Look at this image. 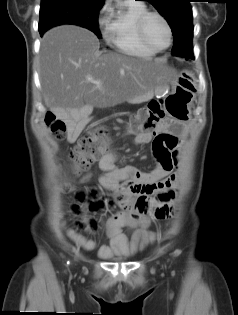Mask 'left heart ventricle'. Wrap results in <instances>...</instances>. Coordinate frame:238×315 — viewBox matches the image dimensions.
<instances>
[{"label":"left heart ventricle","mask_w":238,"mask_h":315,"mask_svg":"<svg viewBox=\"0 0 238 315\" xmlns=\"http://www.w3.org/2000/svg\"><path fill=\"white\" fill-rule=\"evenodd\" d=\"M147 39L158 48H163L168 43V32L164 23L157 17H150L146 24Z\"/></svg>","instance_id":"1"}]
</instances>
